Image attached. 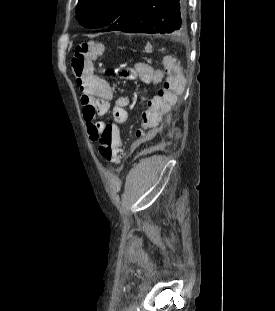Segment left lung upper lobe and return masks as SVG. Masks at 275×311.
<instances>
[{"label": "left lung upper lobe", "instance_id": "left-lung-upper-lobe-1", "mask_svg": "<svg viewBox=\"0 0 275 311\" xmlns=\"http://www.w3.org/2000/svg\"><path fill=\"white\" fill-rule=\"evenodd\" d=\"M142 0H79L76 18L83 27L109 26L114 31L129 19Z\"/></svg>", "mask_w": 275, "mask_h": 311}]
</instances>
